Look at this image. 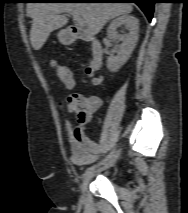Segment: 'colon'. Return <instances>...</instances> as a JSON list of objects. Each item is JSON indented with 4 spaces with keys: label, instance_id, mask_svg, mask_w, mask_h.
I'll return each instance as SVG.
<instances>
[{
    "label": "colon",
    "instance_id": "obj_1",
    "mask_svg": "<svg viewBox=\"0 0 188 213\" xmlns=\"http://www.w3.org/2000/svg\"><path fill=\"white\" fill-rule=\"evenodd\" d=\"M52 67L57 75V77L68 87V88H72L75 85V81L73 79V76L71 74V72L69 71V69L58 62H52ZM86 73L88 76L93 78V83L95 85H100L101 84V78L96 76L93 69L90 67L86 68Z\"/></svg>",
    "mask_w": 188,
    "mask_h": 213
}]
</instances>
